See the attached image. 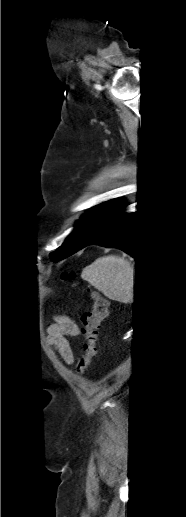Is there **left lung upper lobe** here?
Wrapping results in <instances>:
<instances>
[{
  "label": "left lung upper lobe",
  "mask_w": 186,
  "mask_h": 517,
  "mask_svg": "<svg viewBox=\"0 0 186 517\" xmlns=\"http://www.w3.org/2000/svg\"><path fill=\"white\" fill-rule=\"evenodd\" d=\"M115 203L116 200L104 202L84 215V217L81 218L82 220L77 222L74 231L68 236L63 245L50 254V258L53 261H58L80 250L90 239L95 224Z\"/></svg>",
  "instance_id": "left-lung-upper-lobe-1"
}]
</instances>
